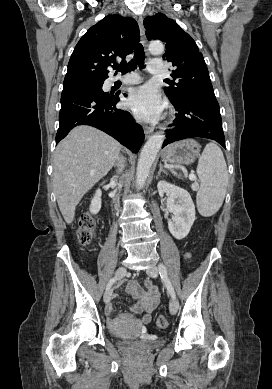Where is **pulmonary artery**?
<instances>
[{"label": "pulmonary artery", "mask_w": 272, "mask_h": 389, "mask_svg": "<svg viewBox=\"0 0 272 389\" xmlns=\"http://www.w3.org/2000/svg\"><path fill=\"white\" fill-rule=\"evenodd\" d=\"M148 72L151 74H159L163 72V65L161 60H151L148 65ZM116 80H120L125 84H136L140 82L139 75L132 73L123 77H118Z\"/></svg>", "instance_id": "e3ab8cb5"}]
</instances>
